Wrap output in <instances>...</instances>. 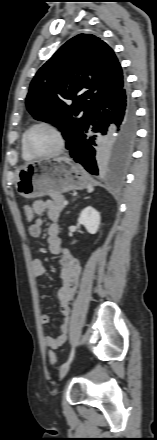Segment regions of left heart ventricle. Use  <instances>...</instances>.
<instances>
[{"instance_id": "b2bd125f", "label": "left heart ventricle", "mask_w": 157, "mask_h": 440, "mask_svg": "<svg viewBox=\"0 0 157 440\" xmlns=\"http://www.w3.org/2000/svg\"><path fill=\"white\" fill-rule=\"evenodd\" d=\"M29 146L37 154H48L58 146L55 133L46 127H37L29 135Z\"/></svg>"}]
</instances>
